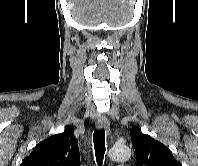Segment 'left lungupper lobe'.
Returning <instances> with one entry per match:
<instances>
[{
  "label": "left lung upper lobe",
  "instance_id": "5c2ea615",
  "mask_svg": "<svg viewBox=\"0 0 198 166\" xmlns=\"http://www.w3.org/2000/svg\"><path fill=\"white\" fill-rule=\"evenodd\" d=\"M130 136L136 152L137 166H182L165 145L143 134L140 128L133 127Z\"/></svg>",
  "mask_w": 198,
  "mask_h": 166
}]
</instances>
